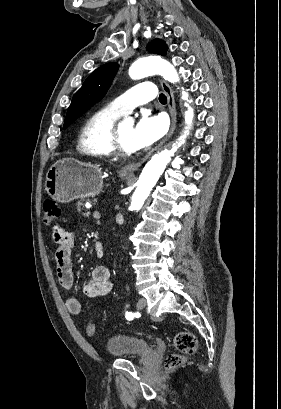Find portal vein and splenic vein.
Masks as SVG:
<instances>
[{
  "label": "portal vein and splenic vein",
  "mask_w": 281,
  "mask_h": 409,
  "mask_svg": "<svg viewBox=\"0 0 281 409\" xmlns=\"http://www.w3.org/2000/svg\"><path fill=\"white\" fill-rule=\"evenodd\" d=\"M92 214L95 217V219H99L101 217V213L98 209L94 210Z\"/></svg>",
  "instance_id": "18ae733b"
}]
</instances>
